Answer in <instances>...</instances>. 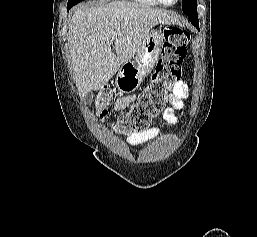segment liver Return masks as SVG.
Listing matches in <instances>:
<instances>
[{"label":"liver","mask_w":257,"mask_h":237,"mask_svg":"<svg viewBox=\"0 0 257 237\" xmlns=\"http://www.w3.org/2000/svg\"><path fill=\"white\" fill-rule=\"evenodd\" d=\"M178 22L168 11L137 3L77 7L69 24L68 43L80 97L99 90L130 61L155 25Z\"/></svg>","instance_id":"obj_1"}]
</instances>
